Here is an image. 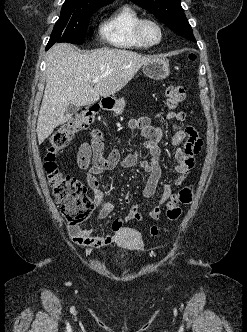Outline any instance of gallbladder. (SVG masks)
Segmentation results:
<instances>
[{"mask_svg": "<svg viewBox=\"0 0 247 332\" xmlns=\"http://www.w3.org/2000/svg\"><path fill=\"white\" fill-rule=\"evenodd\" d=\"M79 107L73 104H70L67 108V113L72 115L78 111Z\"/></svg>", "mask_w": 247, "mask_h": 332, "instance_id": "gallbladder-1", "label": "gallbladder"}]
</instances>
